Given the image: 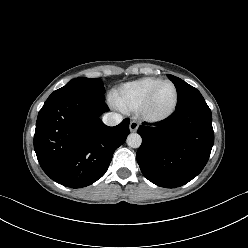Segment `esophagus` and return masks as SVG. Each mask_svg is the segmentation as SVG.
<instances>
[{
  "label": "esophagus",
  "mask_w": 248,
  "mask_h": 248,
  "mask_svg": "<svg viewBox=\"0 0 248 248\" xmlns=\"http://www.w3.org/2000/svg\"><path fill=\"white\" fill-rule=\"evenodd\" d=\"M138 123L135 120H132L129 124V129L131 132H136L138 129Z\"/></svg>",
  "instance_id": "esophagus-1"
}]
</instances>
